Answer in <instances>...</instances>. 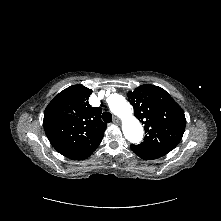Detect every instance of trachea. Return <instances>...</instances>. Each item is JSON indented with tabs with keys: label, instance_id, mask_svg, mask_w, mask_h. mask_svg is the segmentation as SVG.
I'll return each mask as SVG.
<instances>
[{
	"label": "trachea",
	"instance_id": "1",
	"mask_svg": "<svg viewBox=\"0 0 221 221\" xmlns=\"http://www.w3.org/2000/svg\"><path fill=\"white\" fill-rule=\"evenodd\" d=\"M102 119L104 120V122L110 123L112 121V114L110 112H104L102 114Z\"/></svg>",
	"mask_w": 221,
	"mask_h": 221
}]
</instances>
